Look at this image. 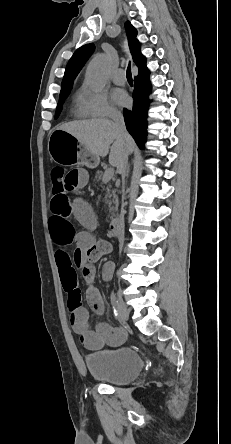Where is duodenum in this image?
I'll return each mask as SVG.
<instances>
[{
    "mask_svg": "<svg viewBox=\"0 0 231 444\" xmlns=\"http://www.w3.org/2000/svg\"><path fill=\"white\" fill-rule=\"evenodd\" d=\"M118 218L112 220L109 224V232L113 235V236H119L118 232L121 230H118Z\"/></svg>",
    "mask_w": 231,
    "mask_h": 444,
    "instance_id": "410a0bca",
    "label": "duodenum"
}]
</instances>
